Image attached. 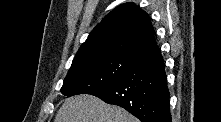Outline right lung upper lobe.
Wrapping results in <instances>:
<instances>
[{
  "label": "right lung upper lobe",
  "mask_w": 221,
  "mask_h": 122,
  "mask_svg": "<svg viewBox=\"0 0 221 122\" xmlns=\"http://www.w3.org/2000/svg\"><path fill=\"white\" fill-rule=\"evenodd\" d=\"M156 47L148 14L134 3H125L116 7L93 29L71 66L107 56L137 60Z\"/></svg>",
  "instance_id": "1"
}]
</instances>
